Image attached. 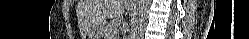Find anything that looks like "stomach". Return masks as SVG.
Instances as JSON below:
<instances>
[{
	"label": "stomach",
	"instance_id": "0dacf381",
	"mask_svg": "<svg viewBox=\"0 0 249 39\" xmlns=\"http://www.w3.org/2000/svg\"><path fill=\"white\" fill-rule=\"evenodd\" d=\"M103 27H104V23H97L91 26L89 30L90 39H99L102 35Z\"/></svg>",
	"mask_w": 249,
	"mask_h": 39
}]
</instances>
